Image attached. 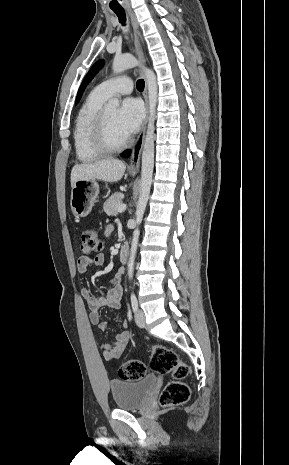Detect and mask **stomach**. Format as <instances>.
Instances as JSON below:
<instances>
[{
	"mask_svg": "<svg viewBox=\"0 0 289 465\" xmlns=\"http://www.w3.org/2000/svg\"><path fill=\"white\" fill-rule=\"evenodd\" d=\"M98 194L99 185L95 179L78 180L71 191L70 204L73 214L86 217L91 212Z\"/></svg>",
	"mask_w": 289,
	"mask_h": 465,
	"instance_id": "1",
	"label": "stomach"
}]
</instances>
